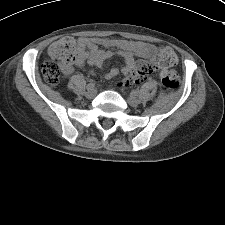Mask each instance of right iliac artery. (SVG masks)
Masks as SVG:
<instances>
[{"mask_svg": "<svg viewBox=\"0 0 225 225\" xmlns=\"http://www.w3.org/2000/svg\"><path fill=\"white\" fill-rule=\"evenodd\" d=\"M94 85V82L91 80L87 85V89L94 87Z\"/></svg>", "mask_w": 225, "mask_h": 225, "instance_id": "82829eb1", "label": "right iliac artery"}]
</instances>
